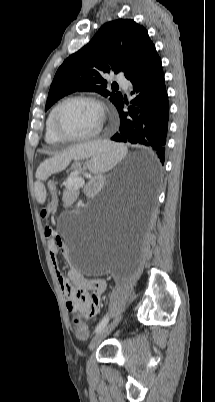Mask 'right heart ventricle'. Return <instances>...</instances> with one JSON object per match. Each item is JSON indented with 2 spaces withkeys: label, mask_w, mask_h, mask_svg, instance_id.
Masks as SVG:
<instances>
[{
  "label": "right heart ventricle",
  "mask_w": 215,
  "mask_h": 402,
  "mask_svg": "<svg viewBox=\"0 0 215 402\" xmlns=\"http://www.w3.org/2000/svg\"><path fill=\"white\" fill-rule=\"evenodd\" d=\"M54 109V108H53ZM53 109L50 111L47 120H46V128H45V140L49 144H59L62 143L64 140L59 138L52 127V114H53Z\"/></svg>",
  "instance_id": "right-heart-ventricle-1"
}]
</instances>
